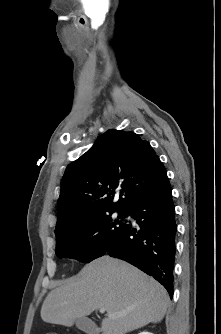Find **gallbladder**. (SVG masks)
<instances>
[{"label":"gallbladder","instance_id":"1","mask_svg":"<svg viewBox=\"0 0 221 334\" xmlns=\"http://www.w3.org/2000/svg\"><path fill=\"white\" fill-rule=\"evenodd\" d=\"M76 327L88 334H98L99 329L93 321L86 317L78 318L75 320Z\"/></svg>","mask_w":221,"mask_h":334}]
</instances>
